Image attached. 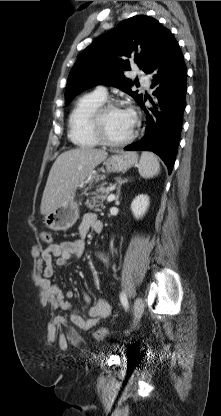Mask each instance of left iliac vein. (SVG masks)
Listing matches in <instances>:
<instances>
[{
    "instance_id": "4c4485c4",
    "label": "left iliac vein",
    "mask_w": 221,
    "mask_h": 416,
    "mask_svg": "<svg viewBox=\"0 0 221 416\" xmlns=\"http://www.w3.org/2000/svg\"><path fill=\"white\" fill-rule=\"evenodd\" d=\"M144 312V302L143 299L138 297L135 299L133 305V315H134V324L138 322Z\"/></svg>"
}]
</instances>
